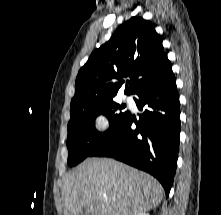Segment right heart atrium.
<instances>
[{"instance_id": "right-heart-atrium-1", "label": "right heart atrium", "mask_w": 221, "mask_h": 215, "mask_svg": "<svg viewBox=\"0 0 221 215\" xmlns=\"http://www.w3.org/2000/svg\"><path fill=\"white\" fill-rule=\"evenodd\" d=\"M109 128V119L103 114H97L93 120V129L97 133H103Z\"/></svg>"}]
</instances>
